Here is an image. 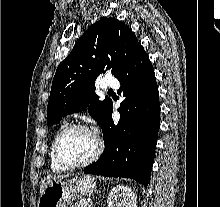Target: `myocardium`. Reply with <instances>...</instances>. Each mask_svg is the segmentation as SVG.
<instances>
[{"instance_id": "1", "label": "myocardium", "mask_w": 220, "mask_h": 207, "mask_svg": "<svg viewBox=\"0 0 220 207\" xmlns=\"http://www.w3.org/2000/svg\"><path fill=\"white\" fill-rule=\"evenodd\" d=\"M72 130H83V131L90 133L95 140L96 147H95L93 154L89 158H87L86 160L78 162V163L68 164V163H65L61 160L59 153H58V144H59L61 137L65 133L72 131ZM102 151H103V142H102L101 138L90 127H88L87 125L82 124V123H73V124H69V125L65 126L56 135V137L52 143L53 158H54L55 162L63 169H76V168H81V167L87 166V165L93 163L94 161H96L99 158V156L101 155Z\"/></svg>"}]
</instances>
